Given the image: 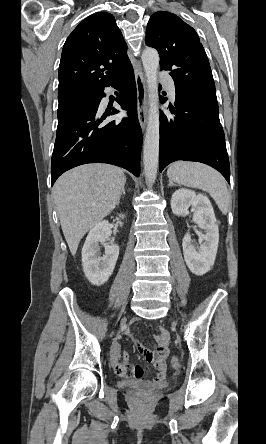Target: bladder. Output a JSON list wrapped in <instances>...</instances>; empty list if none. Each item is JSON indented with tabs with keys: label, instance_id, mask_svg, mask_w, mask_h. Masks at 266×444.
Masks as SVG:
<instances>
[{
	"label": "bladder",
	"instance_id": "obj_1",
	"mask_svg": "<svg viewBox=\"0 0 266 444\" xmlns=\"http://www.w3.org/2000/svg\"><path fill=\"white\" fill-rule=\"evenodd\" d=\"M125 389L129 391H133L135 393H141L143 391H160L165 390L169 388L168 384H160V385H154V386H147L144 385L138 381L134 380H125L124 381Z\"/></svg>",
	"mask_w": 266,
	"mask_h": 444
}]
</instances>
